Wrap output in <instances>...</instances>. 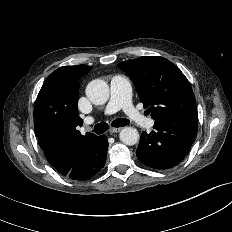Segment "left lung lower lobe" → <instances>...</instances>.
<instances>
[{
	"label": "left lung lower lobe",
	"mask_w": 232,
	"mask_h": 232,
	"mask_svg": "<svg viewBox=\"0 0 232 232\" xmlns=\"http://www.w3.org/2000/svg\"><path fill=\"white\" fill-rule=\"evenodd\" d=\"M154 130L142 132L137 158L158 170L178 165L187 155L197 134V125L155 122Z\"/></svg>",
	"instance_id": "0a47b994"
}]
</instances>
